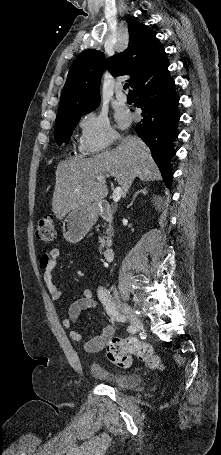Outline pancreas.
I'll use <instances>...</instances> for the list:
<instances>
[{
  "label": "pancreas",
  "instance_id": "1",
  "mask_svg": "<svg viewBox=\"0 0 221 455\" xmlns=\"http://www.w3.org/2000/svg\"><path fill=\"white\" fill-rule=\"evenodd\" d=\"M106 234H107L106 237H104V236L99 237V243H100L99 252L100 253H102V250H103L104 246L106 245V243L110 240V238L114 234V229H113V227L110 224L108 225V229L106 231Z\"/></svg>",
  "mask_w": 221,
  "mask_h": 455
}]
</instances>
